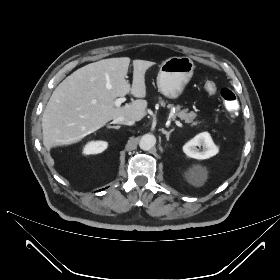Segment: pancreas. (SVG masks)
Masks as SVG:
<instances>
[{"label": "pancreas", "mask_w": 280, "mask_h": 280, "mask_svg": "<svg viewBox=\"0 0 280 280\" xmlns=\"http://www.w3.org/2000/svg\"><path fill=\"white\" fill-rule=\"evenodd\" d=\"M161 106H165L167 102L160 98L159 101ZM167 107L169 109L175 108L174 118L179 117L181 120H184L185 123L190 124L192 127L199 125L200 121H194L197 117V114L193 111H188V109H181L180 105L174 106L173 104H168Z\"/></svg>", "instance_id": "pancreas-1"}]
</instances>
